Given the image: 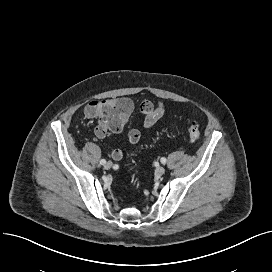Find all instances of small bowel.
Instances as JSON below:
<instances>
[{
  "mask_svg": "<svg viewBox=\"0 0 272 272\" xmlns=\"http://www.w3.org/2000/svg\"><path fill=\"white\" fill-rule=\"evenodd\" d=\"M105 106L114 107L118 111V113L125 119V121L132 113L133 107H134L131 99H129L128 97H119V98H111V99H107L103 101H92L87 104V106L84 109V113L87 117L97 118L99 111ZM140 111L144 116L143 124H142L143 127L151 128L154 124H156V122H158L164 116L165 103L162 101H159L156 104H154L149 100H144L140 104ZM96 133L98 136H100L98 134L97 128H96ZM140 137H141V133H140ZM140 137L137 139H134L128 133V141L130 144H136L140 140ZM110 154H111V157L116 161H119L123 158V152L119 148H111Z\"/></svg>",
  "mask_w": 272,
  "mask_h": 272,
  "instance_id": "obj_1",
  "label": "small bowel"
}]
</instances>
